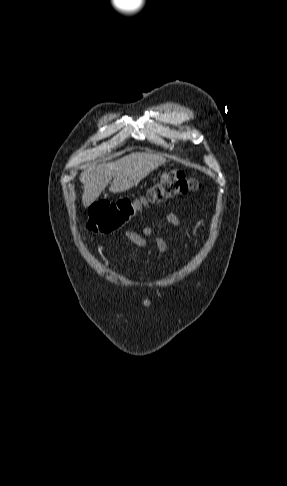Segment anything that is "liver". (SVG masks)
<instances>
[{
    "label": "liver",
    "instance_id": "6515ba94",
    "mask_svg": "<svg viewBox=\"0 0 287 486\" xmlns=\"http://www.w3.org/2000/svg\"><path fill=\"white\" fill-rule=\"evenodd\" d=\"M166 159L160 155L132 153L108 164L92 163L81 173L83 184L82 202L89 207L107 187L112 193L124 192L137 185L151 171L164 164Z\"/></svg>",
    "mask_w": 287,
    "mask_h": 486
}]
</instances>
